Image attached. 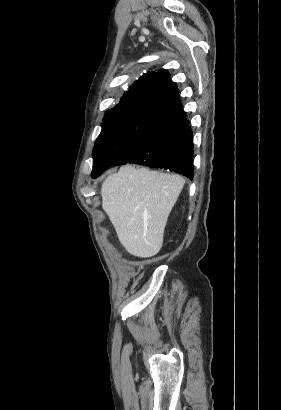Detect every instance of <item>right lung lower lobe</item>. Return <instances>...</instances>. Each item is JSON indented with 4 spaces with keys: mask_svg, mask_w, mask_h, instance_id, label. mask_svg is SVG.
Here are the masks:
<instances>
[{
    "mask_svg": "<svg viewBox=\"0 0 281 410\" xmlns=\"http://www.w3.org/2000/svg\"><path fill=\"white\" fill-rule=\"evenodd\" d=\"M192 140L193 133L186 113L178 104L144 132L112 166L134 163L168 169L192 179Z\"/></svg>",
    "mask_w": 281,
    "mask_h": 410,
    "instance_id": "1",
    "label": "right lung lower lobe"
}]
</instances>
